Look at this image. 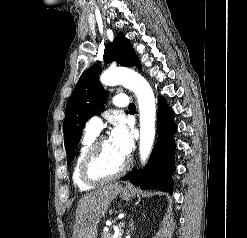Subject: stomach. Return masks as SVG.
<instances>
[{
    "label": "stomach",
    "instance_id": "stomach-1",
    "mask_svg": "<svg viewBox=\"0 0 247 238\" xmlns=\"http://www.w3.org/2000/svg\"><path fill=\"white\" fill-rule=\"evenodd\" d=\"M132 194L129 191L124 190L121 194V198L125 201H128L131 198Z\"/></svg>",
    "mask_w": 247,
    "mask_h": 238
}]
</instances>
